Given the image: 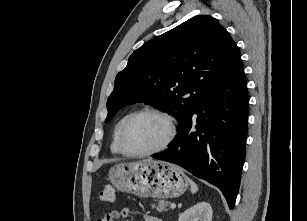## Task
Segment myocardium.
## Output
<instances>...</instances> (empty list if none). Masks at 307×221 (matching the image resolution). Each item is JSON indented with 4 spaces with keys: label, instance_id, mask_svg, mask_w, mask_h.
<instances>
[{
    "label": "myocardium",
    "instance_id": "obj_1",
    "mask_svg": "<svg viewBox=\"0 0 307 221\" xmlns=\"http://www.w3.org/2000/svg\"><path fill=\"white\" fill-rule=\"evenodd\" d=\"M144 114H152V115H156V116L162 118L166 122L167 127H168L167 136L164 139V141L154 149H151V150L145 151V152H131L125 146V143H124L125 134L127 132L128 127L130 126V124L137 117L144 115ZM176 134H177V123H176L175 118L171 114H169L168 112H166L164 110L158 109V108H151V107L143 108V109H140V110L135 111L132 114H130L128 116V118L125 120V122L123 123V125H122V127L119 131V135H118V148H119L120 152L127 157H131V158L147 157V156L157 154V153L165 150L166 148H168V146L174 140Z\"/></svg>",
    "mask_w": 307,
    "mask_h": 221
}]
</instances>
